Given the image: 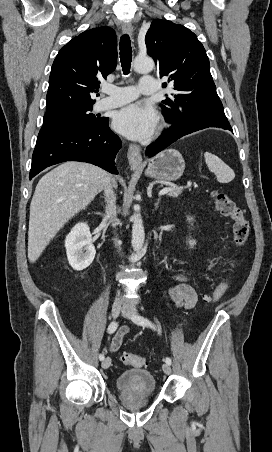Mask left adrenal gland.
Returning <instances> with one entry per match:
<instances>
[{"label":"left adrenal gland","instance_id":"a2214340","mask_svg":"<svg viewBox=\"0 0 272 452\" xmlns=\"http://www.w3.org/2000/svg\"><path fill=\"white\" fill-rule=\"evenodd\" d=\"M160 204V198L157 199L156 203H155V209H158Z\"/></svg>","mask_w":272,"mask_h":452}]
</instances>
